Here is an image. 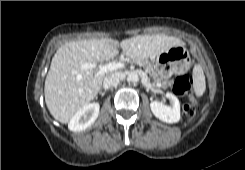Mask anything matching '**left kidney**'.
Returning a JSON list of instances; mask_svg holds the SVG:
<instances>
[{
	"label": "left kidney",
	"instance_id": "obj_1",
	"mask_svg": "<svg viewBox=\"0 0 245 170\" xmlns=\"http://www.w3.org/2000/svg\"><path fill=\"white\" fill-rule=\"evenodd\" d=\"M166 97L171 101V106L159 101H152L150 108L152 113L159 120L166 123H177L180 120V103L178 98L172 93H166Z\"/></svg>",
	"mask_w": 245,
	"mask_h": 170
}]
</instances>
